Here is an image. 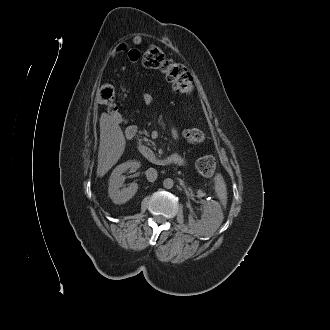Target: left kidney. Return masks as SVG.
Instances as JSON below:
<instances>
[{"label":"left kidney","instance_id":"obj_1","mask_svg":"<svg viewBox=\"0 0 330 330\" xmlns=\"http://www.w3.org/2000/svg\"><path fill=\"white\" fill-rule=\"evenodd\" d=\"M223 219V212L219 203L214 200L207 201L203 205L201 220L195 221L193 215H189V228L194 234L210 236L219 228Z\"/></svg>","mask_w":330,"mask_h":330}]
</instances>
